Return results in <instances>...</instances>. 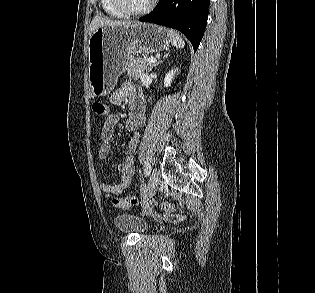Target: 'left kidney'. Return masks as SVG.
I'll return each mask as SVG.
<instances>
[{"mask_svg": "<svg viewBox=\"0 0 315 293\" xmlns=\"http://www.w3.org/2000/svg\"><path fill=\"white\" fill-rule=\"evenodd\" d=\"M176 72H177V69H174V70L172 69L166 74L165 79H164V87L167 88L171 86L172 80L174 79Z\"/></svg>", "mask_w": 315, "mask_h": 293, "instance_id": "obj_1", "label": "left kidney"}]
</instances>
